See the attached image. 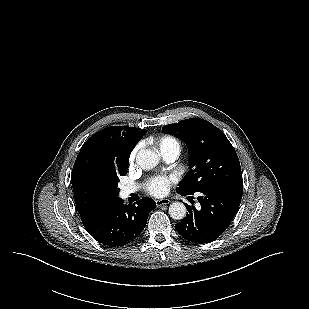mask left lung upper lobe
<instances>
[{
  "instance_id": "left-lung-upper-lobe-1",
  "label": "left lung upper lobe",
  "mask_w": 309,
  "mask_h": 309,
  "mask_svg": "<svg viewBox=\"0 0 309 309\" xmlns=\"http://www.w3.org/2000/svg\"><path fill=\"white\" fill-rule=\"evenodd\" d=\"M162 132L179 137L189 149L190 170L178 184V193L243 189L238 156L219 128L203 119L190 118L165 125Z\"/></svg>"
}]
</instances>
